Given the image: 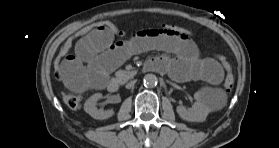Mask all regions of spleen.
Masks as SVG:
<instances>
[{
	"instance_id": "obj_1",
	"label": "spleen",
	"mask_w": 279,
	"mask_h": 148,
	"mask_svg": "<svg viewBox=\"0 0 279 148\" xmlns=\"http://www.w3.org/2000/svg\"><path fill=\"white\" fill-rule=\"evenodd\" d=\"M203 94L212 110H220L227 104V96L222 89H206Z\"/></svg>"
}]
</instances>
